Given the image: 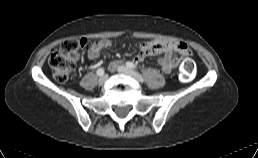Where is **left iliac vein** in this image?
<instances>
[{
	"label": "left iliac vein",
	"instance_id": "4c4485c4",
	"mask_svg": "<svg viewBox=\"0 0 258 158\" xmlns=\"http://www.w3.org/2000/svg\"><path fill=\"white\" fill-rule=\"evenodd\" d=\"M117 70L120 73L126 74V75H130L131 77L135 78L137 81L141 82L142 81V77L140 76V74H138L137 72H135L134 70H131L129 68H127L126 66L123 65H119L117 67Z\"/></svg>",
	"mask_w": 258,
	"mask_h": 158
}]
</instances>
